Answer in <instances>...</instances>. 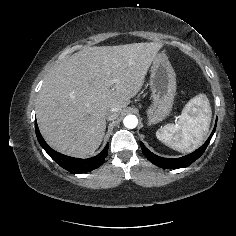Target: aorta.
Returning a JSON list of instances; mask_svg holds the SVG:
<instances>
[{
	"instance_id": "aorta-1",
	"label": "aorta",
	"mask_w": 236,
	"mask_h": 236,
	"mask_svg": "<svg viewBox=\"0 0 236 236\" xmlns=\"http://www.w3.org/2000/svg\"><path fill=\"white\" fill-rule=\"evenodd\" d=\"M123 124L128 129H134L138 124V119L135 115H127L123 120Z\"/></svg>"
}]
</instances>
